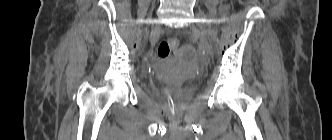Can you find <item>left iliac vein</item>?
<instances>
[{
	"label": "left iliac vein",
	"mask_w": 332,
	"mask_h": 140,
	"mask_svg": "<svg viewBox=\"0 0 332 140\" xmlns=\"http://www.w3.org/2000/svg\"><path fill=\"white\" fill-rule=\"evenodd\" d=\"M193 31L196 34V36L199 38V42H200L201 47L204 49V51L207 54L211 55L212 54V50H211V47H210V45H209V43H208V41L206 39L205 34L202 33V32H200V31H198V30H196V29H194Z\"/></svg>",
	"instance_id": "obj_1"
}]
</instances>
